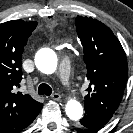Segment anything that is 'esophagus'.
<instances>
[{
	"mask_svg": "<svg viewBox=\"0 0 133 133\" xmlns=\"http://www.w3.org/2000/svg\"><path fill=\"white\" fill-rule=\"evenodd\" d=\"M51 98L53 99V100H60L61 99V95L60 94H58V93H55V94H53V95H51Z\"/></svg>",
	"mask_w": 133,
	"mask_h": 133,
	"instance_id": "1",
	"label": "esophagus"
}]
</instances>
